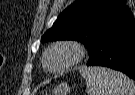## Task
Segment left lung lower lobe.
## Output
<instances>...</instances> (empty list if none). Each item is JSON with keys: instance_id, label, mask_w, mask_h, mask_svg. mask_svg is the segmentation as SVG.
<instances>
[{"instance_id": "0a47b994", "label": "left lung lower lobe", "mask_w": 135, "mask_h": 95, "mask_svg": "<svg viewBox=\"0 0 135 95\" xmlns=\"http://www.w3.org/2000/svg\"><path fill=\"white\" fill-rule=\"evenodd\" d=\"M87 65L121 71L135 80V24L106 36Z\"/></svg>"}]
</instances>
